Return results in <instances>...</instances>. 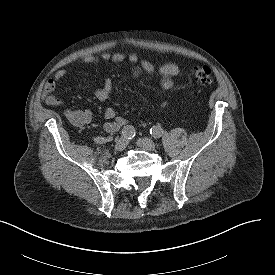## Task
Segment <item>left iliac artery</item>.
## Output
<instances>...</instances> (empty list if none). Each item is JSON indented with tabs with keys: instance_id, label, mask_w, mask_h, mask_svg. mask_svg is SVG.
Listing matches in <instances>:
<instances>
[{
	"instance_id": "44dca946",
	"label": "left iliac artery",
	"mask_w": 275,
	"mask_h": 275,
	"mask_svg": "<svg viewBox=\"0 0 275 275\" xmlns=\"http://www.w3.org/2000/svg\"><path fill=\"white\" fill-rule=\"evenodd\" d=\"M150 134H151L154 138H160L161 136H163L164 130H163L160 126H153V127L150 129Z\"/></svg>"
}]
</instances>
